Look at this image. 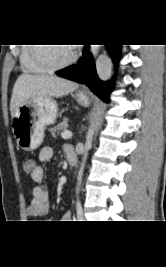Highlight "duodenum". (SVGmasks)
<instances>
[{"mask_svg": "<svg viewBox=\"0 0 166 267\" xmlns=\"http://www.w3.org/2000/svg\"><path fill=\"white\" fill-rule=\"evenodd\" d=\"M68 160V164L71 166V167H75L77 165V158L76 156H69L67 158Z\"/></svg>", "mask_w": 166, "mask_h": 267, "instance_id": "duodenum-1", "label": "duodenum"}]
</instances>
